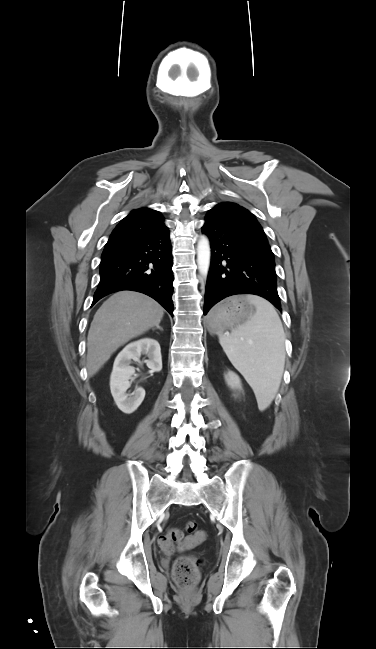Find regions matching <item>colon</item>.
Segmentation results:
<instances>
[{"label": "colon", "mask_w": 376, "mask_h": 649, "mask_svg": "<svg viewBox=\"0 0 376 649\" xmlns=\"http://www.w3.org/2000/svg\"><path fill=\"white\" fill-rule=\"evenodd\" d=\"M205 535L197 529L195 522H188L185 529L170 528L160 537L163 549L172 551L176 546H185L193 542H200ZM200 559L192 556L179 557L173 565V578L176 584L184 589L192 588L199 576Z\"/></svg>", "instance_id": "1"}]
</instances>
